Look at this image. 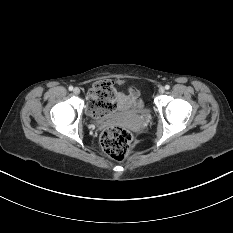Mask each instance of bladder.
<instances>
[{
	"label": "bladder",
	"instance_id": "31cf9c89",
	"mask_svg": "<svg viewBox=\"0 0 233 233\" xmlns=\"http://www.w3.org/2000/svg\"><path fill=\"white\" fill-rule=\"evenodd\" d=\"M133 111L139 114H144V115L148 114L149 112L148 108L142 103L136 107H133Z\"/></svg>",
	"mask_w": 233,
	"mask_h": 233
}]
</instances>
